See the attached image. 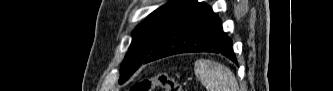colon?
Segmentation results:
<instances>
[{"label":"colon","mask_w":333,"mask_h":91,"mask_svg":"<svg viewBox=\"0 0 333 91\" xmlns=\"http://www.w3.org/2000/svg\"><path fill=\"white\" fill-rule=\"evenodd\" d=\"M159 87L163 91H184V89L168 74L159 73L132 85L131 91H152Z\"/></svg>","instance_id":"5ec220e1"}]
</instances>
